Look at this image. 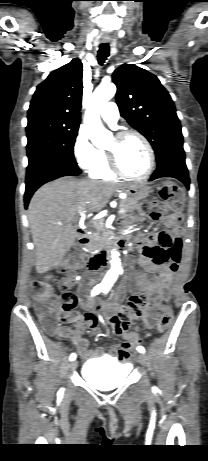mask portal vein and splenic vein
I'll return each instance as SVG.
<instances>
[{"instance_id":"obj_1","label":"portal vein and splenic vein","mask_w":208,"mask_h":461,"mask_svg":"<svg viewBox=\"0 0 208 461\" xmlns=\"http://www.w3.org/2000/svg\"><path fill=\"white\" fill-rule=\"evenodd\" d=\"M125 212H126L125 209L120 208L119 211H118V214H125ZM80 215L84 216V213L81 212ZM94 224H97V221H95Z\"/></svg>"}]
</instances>
